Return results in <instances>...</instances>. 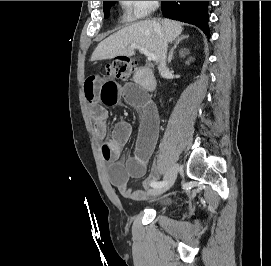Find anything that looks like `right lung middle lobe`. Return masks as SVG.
<instances>
[{"instance_id":"obj_1","label":"right lung middle lobe","mask_w":271,"mask_h":266,"mask_svg":"<svg viewBox=\"0 0 271 266\" xmlns=\"http://www.w3.org/2000/svg\"><path fill=\"white\" fill-rule=\"evenodd\" d=\"M115 3V1H104L103 3V9L105 17H108L111 6Z\"/></svg>"}]
</instances>
